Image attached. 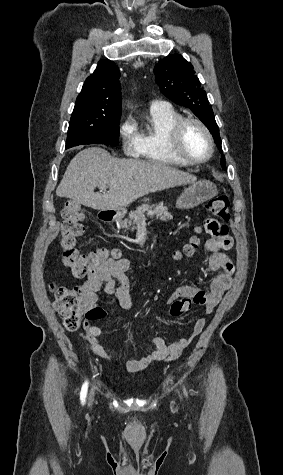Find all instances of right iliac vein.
Returning a JSON list of instances; mask_svg holds the SVG:
<instances>
[{
	"instance_id": "right-iliac-vein-1",
	"label": "right iliac vein",
	"mask_w": 283,
	"mask_h": 475,
	"mask_svg": "<svg viewBox=\"0 0 283 475\" xmlns=\"http://www.w3.org/2000/svg\"><path fill=\"white\" fill-rule=\"evenodd\" d=\"M93 397H94V392H92V393L90 394V400H91V401H92Z\"/></svg>"
}]
</instances>
